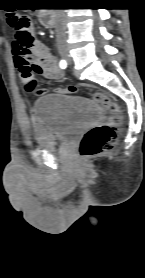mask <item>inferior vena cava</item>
Wrapping results in <instances>:
<instances>
[{
    "mask_svg": "<svg viewBox=\"0 0 145 278\" xmlns=\"http://www.w3.org/2000/svg\"><path fill=\"white\" fill-rule=\"evenodd\" d=\"M57 28L56 37L59 44L66 41V16L63 10H58L57 12Z\"/></svg>",
    "mask_w": 145,
    "mask_h": 278,
    "instance_id": "obj_1",
    "label": "inferior vena cava"
}]
</instances>
